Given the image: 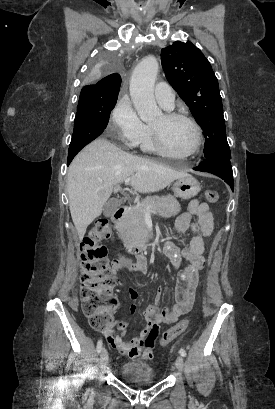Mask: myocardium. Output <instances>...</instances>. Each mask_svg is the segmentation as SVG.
I'll use <instances>...</instances> for the list:
<instances>
[{"label":"myocardium","mask_w":275,"mask_h":409,"mask_svg":"<svg viewBox=\"0 0 275 409\" xmlns=\"http://www.w3.org/2000/svg\"><path fill=\"white\" fill-rule=\"evenodd\" d=\"M162 117H163L165 125H168L177 120H183L189 123L194 130L195 142L191 150L187 153L182 154V153L174 152L167 144L165 129L151 126L153 144L155 148L160 153L166 156H169V157H192L194 156L198 152L202 144V132H201V129L198 123L190 116L183 114V113H178V112H168V113L163 114Z\"/></svg>","instance_id":"obj_1"}]
</instances>
